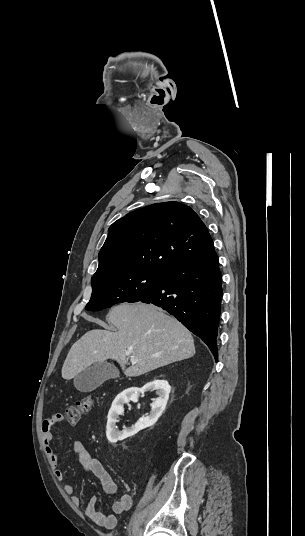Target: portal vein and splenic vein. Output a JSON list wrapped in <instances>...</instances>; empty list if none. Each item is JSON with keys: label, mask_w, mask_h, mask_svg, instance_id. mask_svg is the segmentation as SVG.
Returning a JSON list of instances; mask_svg holds the SVG:
<instances>
[{"label": "portal vein and splenic vein", "mask_w": 305, "mask_h": 536, "mask_svg": "<svg viewBox=\"0 0 305 536\" xmlns=\"http://www.w3.org/2000/svg\"><path fill=\"white\" fill-rule=\"evenodd\" d=\"M126 356H130V354H126ZM130 362H132V366H134V364H137L139 360H135V358H130Z\"/></svg>", "instance_id": "1"}]
</instances>
